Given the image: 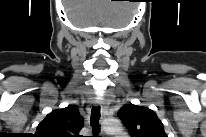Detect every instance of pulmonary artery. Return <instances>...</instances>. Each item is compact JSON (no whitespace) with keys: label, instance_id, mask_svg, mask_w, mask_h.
<instances>
[{"label":"pulmonary artery","instance_id":"obj_1","mask_svg":"<svg viewBox=\"0 0 206 137\" xmlns=\"http://www.w3.org/2000/svg\"><path fill=\"white\" fill-rule=\"evenodd\" d=\"M116 137H127V136L124 135L123 133H119Z\"/></svg>","mask_w":206,"mask_h":137}]
</instances>
